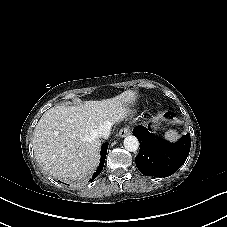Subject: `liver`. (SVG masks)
Returning a JSON list of instances; mask_svg holds the SVG:
<instances>
[{
	"label": "liver",
	"instance_id": "obj_1",
	"mask_svg": "<svg viewBox=\"0 0 227 227\" xmlns=\"http://www.w3.org/2000/svg\"><path fill=\"white\" fill-rule=\"evenodd\" d=\"M135 97V92L129 90L110 99L49 109L33 134L37 162L54 178L65 181L89 178L100 158L101 142L96 129L124 120Z\"/></svg>",
	"mask_w": 227,
	"mask_h": 227
}]
</instances>
